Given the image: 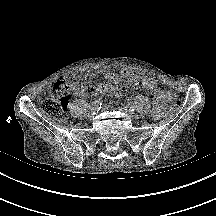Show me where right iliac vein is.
<instances>
[{"mask_svg":"<svg viewBox=\"0 0 216 216\" xmlns=\"http://www.w3.org/2000/svg\"><path fill=\"white\" fill-rule=\"evenodd\" d=\"M95 115H96V112H95L94 110H91V111L88 113L87 117H88L89 119H93V118L95 117Z\"/></svg>","mask_w":216,"mask_h":216,"instance_id":"63e3f726","label":"right iliac vein"}]
</instances>
